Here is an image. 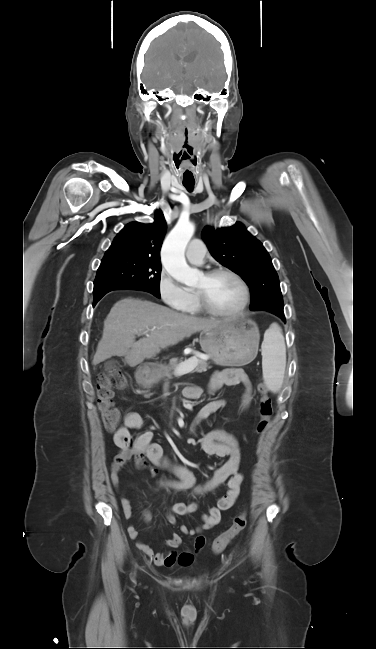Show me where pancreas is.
Returning <instances> with one entry per match:
<instances>
[{"instance_id":"1","label":"pancreas","mask_w":376,"mask_h":649,"mask_svg":"<svg viewBox=\"0 0 376 649\" xmlns=\"http://www.w3.org/2000/svg\"><path fill=\"white\" fill-rule=\"evenodd\" d=\"M185 361L181 360L180 362H178L177 360H171L170 365H158L159 373H158L157 377L155 378V380L153 381V383H157L160 380H163L165 378H171L172 374L178 375V374L175 373V370L180 364H182ZM208 368H210V367H208V364H207V362L205 360L197 359V365L195 366V368L192 371H190L188 373H194V372L202 373V372L207 371ZM172 370H174L173 373H172ZM185 374H187V373H185ZM181 375H184V374H179V376H181Z\"/></svg>"}]
</instances>
